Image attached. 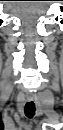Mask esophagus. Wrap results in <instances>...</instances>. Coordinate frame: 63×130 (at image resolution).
Instances as JSON below:
<instances>
[{
	"label": "esophagus",
	"mask_w": 63,
	"mask_h": 130,
	"mask_svg": "<svg viewBox=\"0 0 63 130\" xmlns=\"http://www.w3.org/2000/svg\"><path fill=\"white\" fill-rule=\"evenodd\" d=\"M34 98H35V97H34L33 94H28V95H27V100H28V101H33Z\"/></svg>",
	"instance_id": "1"
}]
</instances>
